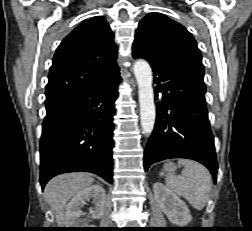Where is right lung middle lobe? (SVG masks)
Listing matches in <instances>:
<instances>
[{"instance_id":"obj_1","label":"right lung middle lobe","mask_w":252,"mask_h":231,"mask_svg":"<svg viewBox=\"0 0 252 231\" xmlns=\"http://www.w3.org/2000/svg\"><path fill=\"white\" fill-rule=\"evenodd\" d=\"M52 106H54V105L46 104V109H48V108H50V107H52Z\"/></svg>"}]
</instances>
